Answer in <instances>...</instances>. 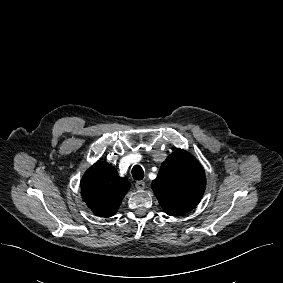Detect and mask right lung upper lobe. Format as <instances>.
Wrapping results in <instances>:
<instances>
[{"label": "right lung upper lobe", "mask_w": 283, "mask_h": 283, "mask_svg": "<svg viewBox=\"0 0 283 283\" xmlns=\"http://www.w3.org/2000/svg\"><path fill=\"white\" fill-rule=\"evenodd\" d=\"M130 188V183L118 175L117 170L105 161L90 167L81 180V196L98 216H113Z\"/></svg>", "instance_id": "right-lung-upper-lobe-1"}]
</instances>
